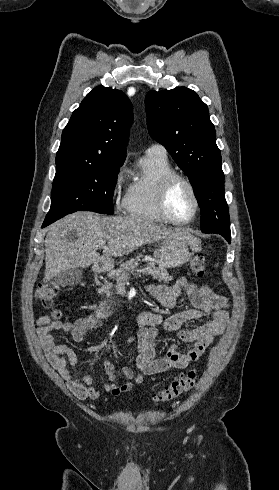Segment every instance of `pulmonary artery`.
Returning a JSON list of instances; mask_svg holds the SVG:
<instances>
[{
  "label": "pulmonary artery",
  "instance_id": "pulmonary-artery-1",
  "mask_svg": "<svg viewBox=\"0 0 279 490\" xmlns=\"http://www.w3.org/2000/svg\"><path fill=\"white\" fill-rule=\"evenodd\" d=\"M146 155H157L161 157H167V150L161 143H153L146 150Z\"/></svg>",
  "mask_w": 279,
  "mask_h": 490
}]
</instances>
